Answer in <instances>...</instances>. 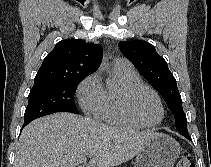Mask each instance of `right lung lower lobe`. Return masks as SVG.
Returning <instances> with one entry per match:
<instances>
[{
  "instance_id": "98d812e1",
  "label": "right lung lower lobe",
  "mask_w": 211,
  "mask_h": 167,
  "mask_svg": "<svg viewBox=\"0 0 211 167\" xmlns=\"http://www.w3.org/2000/svg\"><path fill=\"white\" fill-rule=\"evenodd\" d=\"M27 124H28V123H24L23 126H22V129H23ZM22 129H21V131H22Z\"/></svg>"
}]
</instances>
